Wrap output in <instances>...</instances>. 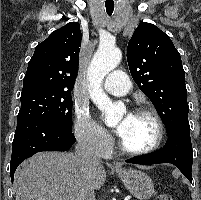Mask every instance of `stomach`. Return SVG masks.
Segmentation results:
<instances>
[{
    "mask_svg": "<svg viewBox=\"0 0 201 200\" xmlns=\"http://www.w3.org/2000/svg\"><path fill=\"white\" fill-rule=\"evenodd\" d=\"M116 173L128 191L137 199L147 200L155 193L153 181L145 172L135 169H116Z\"/></svg>",
    "mask_w": 201,
    "mask_h": 200,
    "instance_id": "1",
    "label": "stomach"
}]
</instances>
